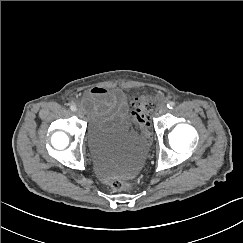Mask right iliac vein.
Returning <instances> with one entry per match:
<instances>
[{
  "label": "right iliac vein",
  "mask_w": 243,
  "mask_h": 243,
  "mask_svg": "<svg viewBox=\"0 0 243 243\" xmlns=\"http://www.w3.org/2000/svg\"><path fill=\"white\" fill-rule=\"evenodd\" d=\"M76 114H77V116H78L79 118H83V116H84V114H83V112H82L81 110H77V111H76Z\"/></svg>",
  "instance_id": "obj_1"
}]
</instances>
